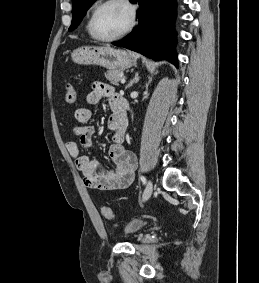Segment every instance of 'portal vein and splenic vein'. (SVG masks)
Masks as SVG:
<instances>
[{"mask_svg": "<svg viewBox=\"0 0 259 283\" xmlns=\"http://www.w3.org/2000/svg\"><path fill=\"white\" fill-rule=\"evenodd\" d=\"M120 81H121L122 84H124L126 82V78L122 77Z\"/></svg>", "mask_w": 259, "mask_h": 283, "instance_id": "18ae733b", "label": "portal vein and splenic vein"}]
</instances>
